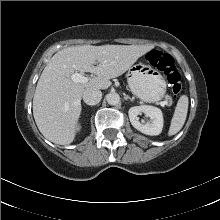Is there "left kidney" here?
<instances>
[{
  "label": "left kidney",
  "mask_w": 220,
  "mask_h": 220,
  "mask_svg": "<svg viewBox=\"0 0 220 220\" xmlns=\"http://www.w3.org/2000/svg\"><path fill=\"white\" fill-rule=\"evenodd\" d=\"M144 113L150 117L151 122L142 124L139 121L138 115ZM129 119L132 126L146 135H159L163 128V115L162 111L154 106L141 105L131 107L128 111Z\"/></svg>",
  "instance_id": "5707ae66"
}]
</instances>
